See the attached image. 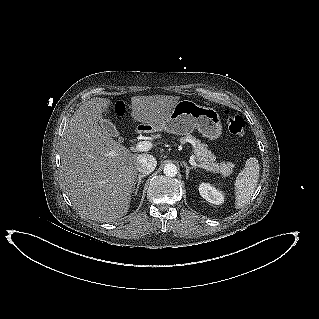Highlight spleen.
Masks as SVG:
<instances>
[{
    "label": "spleen",
    "mask_w": 319,
    "mask_h": 319,
    "mask_svg": "<svg viewBox=\"0 0 319 319\" xmlns=\"http://www.w3.org/2000/svg\"><path fill=\"white\" fill-rule=\"evenodd\" d=\"M259 163L255 157L247 159L245 168L235 180V207H244L251 199L259 180Z\"/></svg>",
    "instance_id": "1"
}]
</instances>
